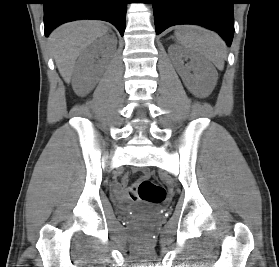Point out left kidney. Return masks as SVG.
Segmentation results:
<instances>
[{"label": "left kidney", "mask_w": 279, "mask_h": 267, "mask_svg": "<svg viewBox=\"0 0 279 267\" xmlns=\"http://www.w3.org/2000/svg\"><path fill=\"white\" fill-rule=\"evenodd\" d=\"M183 58L191 60L188 66L184 65ZM173 63L184 85L193 95L204 97L211 93L215 86L216 73L209 63L183 49L178 51Z\"/></svg>", "instance_id": "5707ae66"}]
</instances>
